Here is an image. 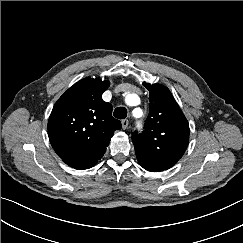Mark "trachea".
Wrapping results in <instances>:
<instances>
[{
    "instance_id": "trachea-1",
    "label": "trachea",
    "mask_w": 243,
    "mask_h": 243,
    "mask_svg": "<svg viewBox=\"0 0 243 243\" xmlns=\"http://www.w3.org/2000/svg\"><path fill=\"white\" fill-rule=\"evenodd\" d=\"M117 119H124L127 116V109L125 107H117L113 113Z\"/></svg>"
}]
</instances>
